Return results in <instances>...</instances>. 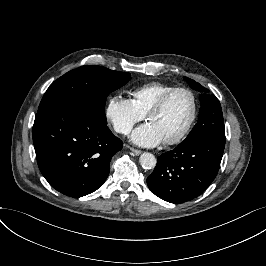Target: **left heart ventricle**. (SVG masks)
Wrapping results in <instances>:
<instances>
[{
    "mask_svg": "<svg viewBox=\"0 0 266 266\" xmlns=\"http://www.w3.org/2000/svg\"><path fill=\"white\" fill-rule=\"evenodd\" d=\"M193 111L191 97L183 91L174 93L161 112L148 117L163 140L176 138L189 122Z\"/></svg>",
    "mask_w": 266,
    "mask_h": 266,
    "instance_id": "left-heart-ventricle-1",
    "label": "left heart ventricle"
}]
</instances>
